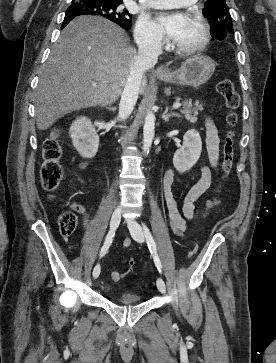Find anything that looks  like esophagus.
Masks as SVG:
<instances>
[{
  "mask_svg": "<svg viewBox=\"0 0 276 363\" xmlns=\"http://www.w3.org/2000/svg\"><path fill=\"white\" fill-rule=\"evenodd\" d=\"M166 72L167 71L163 66L158 67L157 70H156V73H158V74H164Z\"/></svg>",
  "mask_w": 276,
  "mask_h": 363,
  "instance_id": "esophagus-1",
  "label": "esophagus"
}]
</instances>
